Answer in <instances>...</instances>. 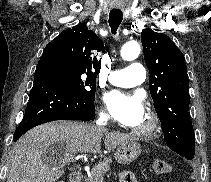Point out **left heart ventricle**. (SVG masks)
<instances>
[{
  "label": "left heart ventricle",
  "instance_id": "1",
  "mask_svg": "<svg viewBox=\"0 0 211 182\" xmlns=\"http://www.w3.org/2000/svg\"><path fill=\"white\" fill-rule=\"evenodd\" d=\"M147 124H148V117L147 115H145L141 123L138 126H136V128H144L145 126H147Z\"/></svg>",
  "mask_w": 211,
  "mask_h": 182
}]
</instances>
